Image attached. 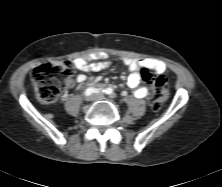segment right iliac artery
Returning <instances> with one entry per match:
<instances>
[{"label":"right iliac artery","instance_id":"82829eb1","mask_svg":"<svg viewBox=\"0 0 222 187\" xmlns=\"http://www.w3.org/2000/svg\"><path fill=\"white\" fill-rule=\"evenodd\" d=\"M96 92H99V89L88 88V89H86V91H85V95H86V96H89V95H91V94H93V93H96Z\"/></svg>","mask_w":222,"mask_h":187}]
</instances>
